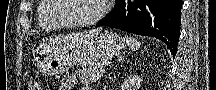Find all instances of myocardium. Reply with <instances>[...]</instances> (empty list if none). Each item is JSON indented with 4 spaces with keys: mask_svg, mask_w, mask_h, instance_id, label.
<instances>
[{
    "mask_svg": "<svg viewBox=\"0 0 216 90\" xmlns=\"http://www.w3.org/2000/svg\"><path fill=\"white\" fill-rule=\"evenodd\" d=\"M55 3H58L59 8H57V11H53L52 18H56L65 26L73 30L74 28H90L94 24L98 23L108 12V6L106 2L103 1L100 11L94 17L85 21L73 22L64 17L68 9H70L69 0H55Z\"/></svg>",
    "mask_w": 216,
    "mask_h": 90,
    "instance_id": "obj_1",
    "label": "myocardium"
}]
</instances>
